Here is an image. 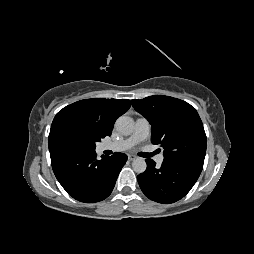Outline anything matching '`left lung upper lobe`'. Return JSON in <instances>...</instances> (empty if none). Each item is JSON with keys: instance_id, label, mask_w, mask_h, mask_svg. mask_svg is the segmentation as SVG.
<instances>
[{"instance_id": "obj_1", "label": "left lung upper lobe", "mask_w": 254, "mask_h": 254, "mask_svg": "<svg viewBox=\"0 0 254 254\" xmlns=\"http://www.w3.org/2000/svg\"><path fill=\"white\" fill-rule=\"evenodd\" d=\"M132 106L151 124V141L163 147L165 161H186L203 166L207 140L193 106L163 95L132 100Z\"/></svg>"}]
</instances>
